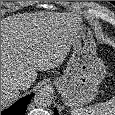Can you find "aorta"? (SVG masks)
I'll list each match as a JSON object with an SVG mask.
<instances>
[{
    "mask_svg": "<svg viewBox=\"0 0 115 115\" xmlns=\"http://www.w3.org/2000/svg\"><path fill=\"white\" fill-rule=\"evenodd\" d=\"M34 103L38 107L50 106L52 104V96L47 90H40L34 96Z\"/></svg>",
    "mask_w": 115,
    "mask_h": 115,
    "instance_id": "762f6f07",
    "label": "aorta"
}]
</instances>
